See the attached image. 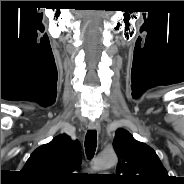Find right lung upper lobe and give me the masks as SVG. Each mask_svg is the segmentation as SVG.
<instances>
[{
	"instance_id": "obj_1",
	"label": "right lung upper lobe",
	"mask_w": 184,
	"mask_h": 184,
	"mask_svg": "<svg viewBox=\"0 0 184 184\" xmlns=\"http://www.w3.org/2000/svg\"><path fill=\"white\" fill-rule=\"evenodd\" d=\"M81 157L80 143L61 134L37 148L22 172L33 182L64 184L70 181L71 172L81 165Z\"/></svg>"
}]
</instances>
